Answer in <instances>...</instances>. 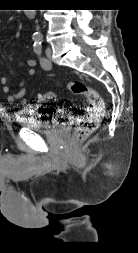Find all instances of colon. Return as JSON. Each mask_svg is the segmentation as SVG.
I'll return each mask as SVG.
<instances>
[{"label": "colon", "instance_id": "colon-1", "mask_svg": "<svg viewBox=\"0 0 138 253\" xmlns=\"http://www.w3.org/2000/svg\"><path fill=\"white\" fill-rule=\"evenodd\" d=\"M67 88L71 93L83 95L88 100V105L84 112L78 116V125L74 132V140L80 142L98 128L100 120L104 116V101L97 91L81 80L69 82ZM56 100L57 95L55 92H46L37 96V101L40 103H52Z\"/></svg>", "mask_w": 138, "mask_h": 253}]
</instances>
